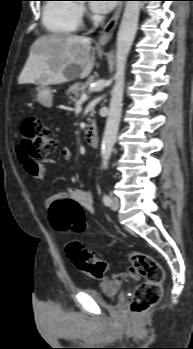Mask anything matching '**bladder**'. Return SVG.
<instances>
[{
    "instance_id": "1",
    "label": "bladder",
    "mask_w": 193,
    "mask_h": 349,
    "mask_svg": "<svg viewBox=\"0 0 193 349\" xmlns=\"http://www.w3.org/2000/svg\"><path fill=\"white\" fill-rule=\"evenodd\" d=\"M85 291L89 296H91L95 300V302H97L100 305H104L106 307L111 306L109 304V302L110 303L118 302L120 299V295H121V294H116V295L109 297V296H105L102 292L95 290V289H86Z\"/></svg>"
}]
</instances>
